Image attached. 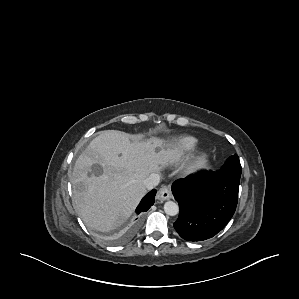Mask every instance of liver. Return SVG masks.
<instances>
[{
	"label": "liver",
	"instance_id": "6515ba94",
	"mask_svg": "<svg viewBox=\"0 0 299 299\" xmlns=\"http://www.w3.org/2000/svg\"><path fill=\"white\" fill-rule=\"evenodd\" d=\"M182 158L183 152L168 140L130 141L124 132L102 131L75 162L71 176L75 209L88 228L111 231L130 217L145 195L143 181ZM94 166H100L97 175Z\"/></svg>",
	"mask_w": 299,
	"mask_h": 299
}]
</instances>
